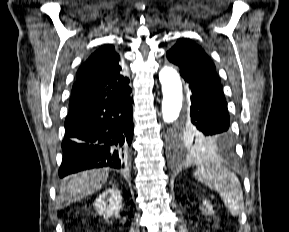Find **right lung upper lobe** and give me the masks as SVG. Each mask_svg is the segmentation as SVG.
Wrapping results in <instances>:
<instances>
[{"instance_id":"right-lung-upper-lobe-1","label":"right lung upper lobe","mask_w":289,"mask_h":232,"mask_svg":"<svg viewBox=\"0 0 289 232\" xmlns=\"http://www.w3.org/2000/svg\"><path fill=\"white\" fill-rule=\"evenodd\" d=\"M111 45L96 50L78 69L69 109L117 98L130 90L129 79Z\"/></svg>"}]
</instances>
